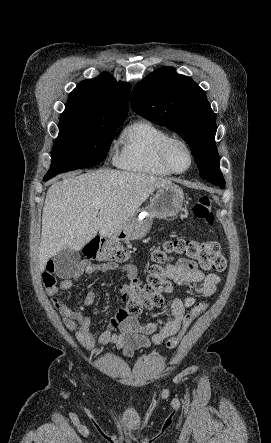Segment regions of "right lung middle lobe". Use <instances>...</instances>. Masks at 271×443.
<instances>
[{
  "instance_id": "obj_1",
  "label": "right lung middle lobe",
  "mask_w": 271,
  "mask_h": 443,
  "mask_svg": "<svg viewBox=\"0 0 271 443\" xmlns=\"http://www.w3.org/2000/svg\"><path fill=\"white\" fill-rule=\"evenodd\" d=\"M124 117L86 118L62 113L53 160L46 175L87 168L103 161Z\"/></svg>"
}]
</instances>
